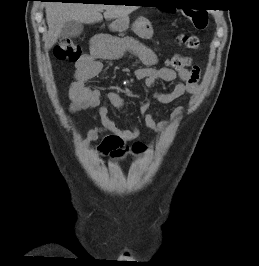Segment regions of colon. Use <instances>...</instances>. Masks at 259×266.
I'll use <instances>...</instances> for the list:
<instances>
[{
    "instance_id": "obj_1",
    "label": "colon",
    "mask_w": 259,
    "mask_h": 266,
    "mask_svg": "<svg viewBox=\"0 0 259 266\" xmlns=\"http://www.w3.org/2000/svg\"><path fill=\"white\" fill-rule=\"evenodd\" d=\"M185 16L191 21L192 25L197 30H204L208 25V16L202 11H186ZM180 43L187 49L197 50L199 48V39L196 35L185 33L179 37ZM54 55L58 60L77 62L81 58V48L75 41L70 38H62L54 49ZM192 59L188 56L175 55L168 60V66L173 70H182L190 66ZM145 149L142 143H134L132 150L135 153H140ZM122 152L115 155H121Z\"/></svg>"
}]
</instances>
